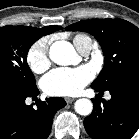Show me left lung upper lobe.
<instances>
[{
    "label": "left lung upper lobe",
    "mask_w": 139,
    "mask_h": 139,
    "mask_svg": "<svg viewBox=\"0 0 139 139\" xmlns=\"http://www.w3.org/2000/svg\"><path fill=\"white\" fill-rule=\"evenodd\" d=\"M67 31H84L100 43L105 64L91 86L107 90L124 75L139 70V29L123 19H95L74 23Z\"/></svg>",
    "instance_id": "5c2ea615"
}]
</instances>
